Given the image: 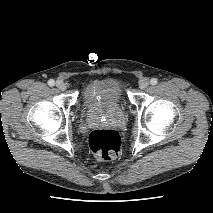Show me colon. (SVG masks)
Wrapping results in <instances>:
<instances>
[{"label": "colon", "instance_id": "colon-1", "mask_svg": "<svg viewBox=\"0 0 213 213\" xmlns=\"http://www.w3.org/2000/svg\"><path fill=\"white\" fill-rule=\"evenodd\" d=\"M89 148L97 159L110 160L115 158L121 148V138L113 129H96L89 135Z\"/></svg>", "mask_w": 213, "mask_h": 213}]
</instances>
